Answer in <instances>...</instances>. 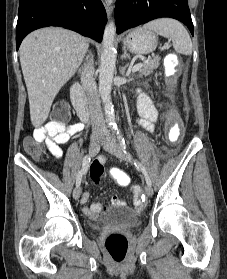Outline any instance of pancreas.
Returning <instances> with one entry per match:
<instances>
[{"mask_svg": "<svg viewBox=\"0 0 227 279\" xmlns=\"http://www.w3.org/2000/svg\"><path fill=\"white\" fill-rule=\"evenodd\" d=\"M158 66H159V58H156V59L150 61L149 63L144 64V65L138 70L139 75H140L141 77H143V76H148V75H150L151 73H153V71H154L155 69H157Z\"/></svg>", "mask_w": 227, "mask_h": 279, "instance_id": "pancreas-1", "label": "pancreas"}]
</instances>
